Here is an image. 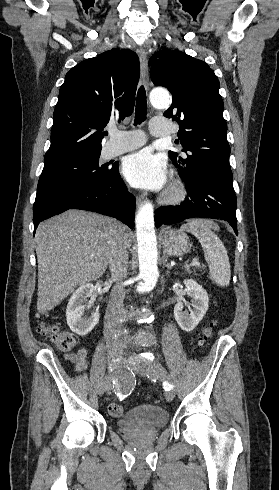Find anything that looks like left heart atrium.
<instances>
[{"mask_svg":"<svg viewBox=\"0 0 279 490\" xmlns=\"http://www.w3.org/2000/svg\"><path fill=\"white\" fill-rule=\"evenodd\" d=\"M122 173L131 186L139 189L160 191L167 183L166 161L148 150L127 156Z\"/></svg>","mask_w":279,"mask_h":490,"instance_id":"1","label":"left heart atrium"}]
</instances>
